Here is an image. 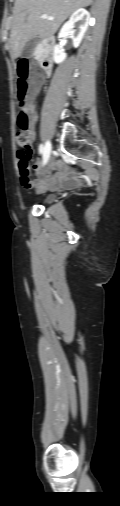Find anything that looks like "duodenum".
I'll use <instances>...</instances> for the list:
<instances>
[{
  "label": "duodenum",
  "instance_id": "duodenum-1",
  "mask_svg": "<svg viewBox=\"0 0 120 506\" xmlns=\"http://www.w3.org/2000/svg\"><path fill=\"white\" fill-rule=\"evenodd\" d=\"M41 51V69L45 74H49L54 58V41L52 38H46L41 42Z\"/></svg>",
  "mask_w": 120,
  "mask_h": 506
}]
</instances>
